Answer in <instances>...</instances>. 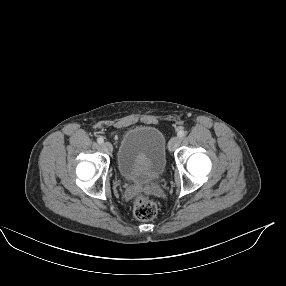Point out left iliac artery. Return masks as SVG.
Wrapping results in <instances>:
<instances>
[{
	"label": "left iliac artery",
	"mask_w": 286,
	"mask_h": 286,
	"mask_svg": "<svg viewBox=\"0 0 286 286\" xmlns=\"http://www.w3.org/2000/svg\"><path fill=\"white\" fill-rule=\"evenodd\" d=\"M185 136V131L184 130H180L178 132V137L183 138Z\"/></svg>",
	"instance_id": "44dca946"
}]
</instances>
